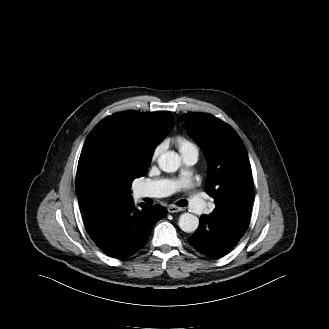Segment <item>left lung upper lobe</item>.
I'll return each mask as SVG.
<instances>
[{
  "instance_id": "1",
  "label": "left lung upper lobe",
  "mask_w": 329,
  "mask_h": 329,
  "mask_svg": "<svg viewBox=\"0 0 329 329\" xmlns=\"http://www.w3.org/2000/svg\"><path fill=\"white\" fill-rule=\"evenodd\" d=\"M179 121L203 150L208 163L205 188L215 200V209H227L235 201L250 197L251 166L236 131L206 113L184 114Z\"/></svg>"
}]
</instances>
